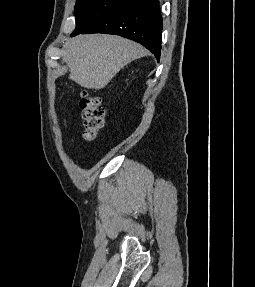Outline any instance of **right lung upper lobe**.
<instances>
[{"label":"right lung upper lobe","instance_id":"obj_1","mask_svg":"<svg viewBox=\"0 0 255 287\" xmlns=\"http://www.w3.org/2000/svg\"><path fill=\"white\" fill-rule=\"evenodd\" d=\"M135 1H137V0H130V2H135Z\"/></svg>","mask_w":255,"mask_h":287}]
</instances>
